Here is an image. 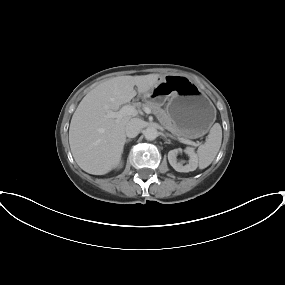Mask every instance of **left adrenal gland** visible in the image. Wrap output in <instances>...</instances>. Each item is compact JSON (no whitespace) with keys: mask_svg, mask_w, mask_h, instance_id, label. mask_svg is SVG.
Segmentation results:
<instances>
[{"mask_svg":"<svg viewBox=\"0 0 285 285\" xmlns=\"http://www.w3.org/2000/svg\"><path fill=\"white\" fill-rule=\"evenodd\" d=\"M166 136H168V137H170L172 139H175V137L173 135L169 134V133H166Z\"/></svg>","mask_w":285,"mask_h":285,"instance_id":"left-adrenal-gland-1","label":"left adrenal gland"}]
</instances>
